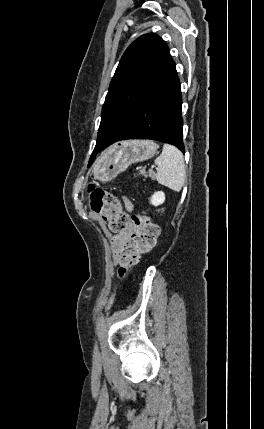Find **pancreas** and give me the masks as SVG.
I'll list each match as a JSON object with an SVG mask.
<instances>
[{
    "label": "pancreas",
    "instance_id": "1",
    "mask_svg": "<svg viewBox=\"0 0 264 429\" xmlns=\"http://www.w3.org/2000/svg\"><path fill=\"white\" fill-rule=\"evenodd\" d=\"M140 174L143 175L144 177H151L152 179H154L155 177V173L152 170H149L148 172H146L145 169H141Z\"/></svg>",
    "mask_w": 264,
    "mask_h": 429
}]
</instances>
